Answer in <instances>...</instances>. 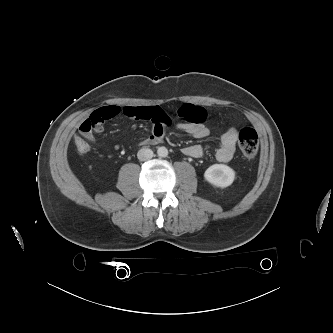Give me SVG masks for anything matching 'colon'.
<instances>
[{
	"instance_id": "5ec220e1",
	"label": "colon",
	"mask_w": 333,
	"mask_h": 333,
	"mask_svg": "<svg viewBox=\"0 0 333 333\" xmlns=\"http://www.w3.org/2000/svg\"><path fill=\"white\" fill-rule=\"evenodd\" d=\"M238 143L242 154L246 158L252 159L256 156L259 140L257 132L253 128L244 127L240 129L238 134ZM74 144L80 153H86L90 148L88 141L81 136H76L74 138Z\"/></svg>"
}]
</instances>
